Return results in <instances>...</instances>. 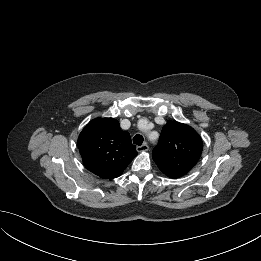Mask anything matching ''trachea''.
Here are the masks:
<instances>
[{
    "label": "trachea",
    "mask_w": 261,
    "mask_h": 261,
    "mask_svg": "<svg viewBox=\"0 0 261 261\" xmlns=\"http://www.w3.org/2000/svg\"><path fill=\"white\" fill-rule=\"evenodd\" d=\"M143 140H144V138H143V136L140 135V134H137V135H135V136L133 137V143L136 144V145H138V146L142 145Z\"/></svg>",
    "instance_id": "1"
}]
</instances>
